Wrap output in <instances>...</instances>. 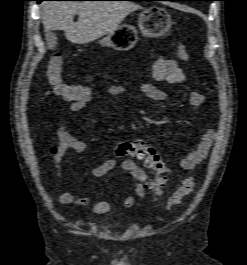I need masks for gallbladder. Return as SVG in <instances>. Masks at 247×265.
I'll use <instances>...</instances> for the list:
<instances>
[{
  "mask_svg": "<svg viewBox=\"0 0 247 265\" xmlns=\"http://www.w3.org/2000/svg\"><path fill=\"white\" fill-rule=\"evenodd\" d=\"M45 37H46V42H47L48 48L55 47V45L57 43L56 34L53 31H46Z\"/></svg>",
  "mask_w": 247,
  "mask_h": 265,
  "instance_id": "gallbladder-1",
  "label": "gallbladder"
}]
</instances>
